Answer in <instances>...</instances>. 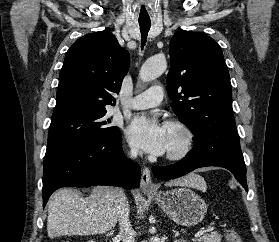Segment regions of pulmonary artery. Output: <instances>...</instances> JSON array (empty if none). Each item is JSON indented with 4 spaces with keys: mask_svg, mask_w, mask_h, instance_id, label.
Wrapping results in <instances>:
<instances>
[{
    "mask_svg": "<svg viewBox=\"0 0 279 242\" xmlns=\"http://www.w3.org/2000/svg\"><path fill=\"white\" fill-rule=\"evenodd\" d=\"M163 99V90L160 86H153L147 91L134 97L128 107L131 109H145L158 106Z\"/></svg>",
    "mask_w": 279,
    "mask_h": 242,
    "instance_id": "pulmonary-artery-1",
    "label": "pulmonary artery"
}]
</instances>
